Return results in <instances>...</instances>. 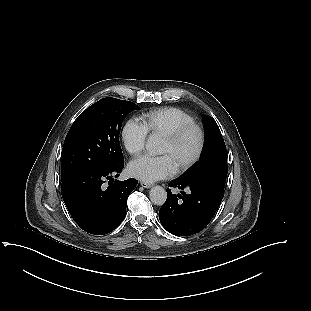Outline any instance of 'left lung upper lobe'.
<instances>
[{
  "mask_svg": "<svg viewBox=\"0 0 311 311\" xmlns=\"http://www.w3.org/2000/svg\"><path fill=\"white\" fill-rule=\"evenodd\" d=\"M202 120L205 140L200 159L177 179L205 182L224 190L227 176L226 146L215 120L207 115H202Z\"/></svg>",
  "mask_w": 311,
  "mask_h": 311,
  "instance_id": "5c2ea615",
  "label": "left lung upper lobe"
}]
</instances>
